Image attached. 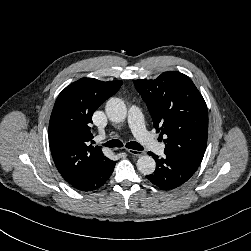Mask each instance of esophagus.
<instances>
[{
    "label": "esophagus",
    "instance_id": "1",
    "mask_svg": "<svg viewBox=\"0 0 251 251\" xmlns=\"http://www.w3.org/2000/svg\"><path fill=\"white\" fill-rule=\"evenodd\" d=\"M126 151L129 154L137 156V157H140V156L144 155V152H142V151H137V150H133V149H126Z\"/></svg>",
    "mask_w": 251,
    "mask_h": 251
}]
</instances>
